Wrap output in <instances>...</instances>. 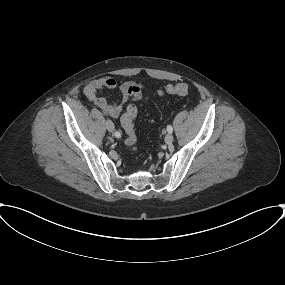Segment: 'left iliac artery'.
<instances>
[{"instance_id": "1", "label": "left iliac artery", "mask_w": 285, "mask_h": 285, "mask_svg": "<svg viewBox=\"0 0 285 285\" xmlns=\"http://www.w3.org/2000/svg\"><path fill=\"white\" fill-rule=\"evenodd\" d=\"M167 131H168L169 133H172V132H173V128H172L171 125H168V126H167Z\"/></svg>"}]
</instances>
